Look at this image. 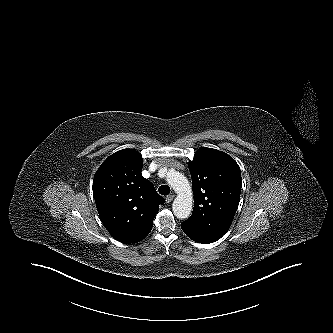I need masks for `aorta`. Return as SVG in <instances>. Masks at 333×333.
<instances>
[{
    "instance_id": "aorta-1",
    "label": "aorta",
    "mask_w": 333,
    "mask_h": 333,
    "mask_svg": "<svg viewBox=\"0 0 333 333\" xmlns=\"http://www.w3.org/2000/svg\"><path fill=\"white\" fill-rule=\"evenodd\" d=\"M167 180L177 193L172 205L174 215L179 219L188 218L193 206V194L188 180L179 172L170 173Z\"/></svg>"
}]
</instances>
